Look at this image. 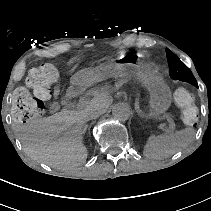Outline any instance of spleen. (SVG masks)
I'll return each mask as SVG.
<instances>
[{
  "label": "spleen",
  "mask_w": 211,
  "mask_h": 211,
  "mask_svg": "<svg viewBox=\"0 0 211 211\" xmlns=\"http://www.w3.org/2000/svg\"><path fill=\"white\" fill-rule=\"evenodd\" d=\"M195 129L186 127L172 134H150L145 142L143 154L151 159L160 160L170 157L194 139Z\"/></svg>",
  "instance_id": "obj_1"
}]
</instances>
